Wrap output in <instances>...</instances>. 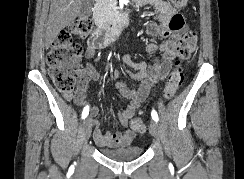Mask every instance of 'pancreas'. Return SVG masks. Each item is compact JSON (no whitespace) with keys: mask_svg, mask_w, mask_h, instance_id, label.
Wrapping results in <instances>:
<instances>
[{"mask_svg":"<svg viewBox=\"0 0 244 179\" xmlns=\"http://www.w3.org/2000/svg\"><path fill=\"white\" fill-rule=\"evenodd\" d=\"M110 4H111V0H103V2H100L101 10L104 16H107V18H109L112 12V8Z\"/></svg>","mask_w":244,"mask_h":179,"instance_id":"cf45deb5","label":"pancreas"}]
</instances>
